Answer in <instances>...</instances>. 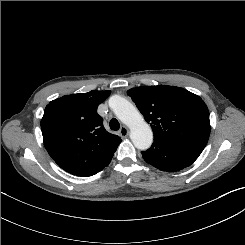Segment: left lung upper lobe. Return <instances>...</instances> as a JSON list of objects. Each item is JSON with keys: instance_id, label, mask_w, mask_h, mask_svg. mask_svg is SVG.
Returning a JSON list of instances; mask_svg holds the SVG:
<instances>
[{"instance_id": "left-lung-upper-lobe-1", "label": "left lung upper lobe", "mask_w": 245, "mask_h": 245, "mask_svg": "<svg viewBox=\"0 0 245 245\" xmlns=\"http://www.w3.org/2000/svg\"><path fill=\"white\" fill-rule=\"evenodd\" d=\"M127 94L150 123L154 139L203 151L210 121L208 108L199 96L174 86H141Z\"/></svg>"}]
</instances>
